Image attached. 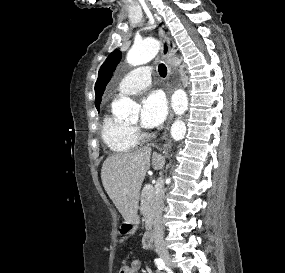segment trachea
I'll use <instances>...</instances> for the list:
<instances>
[{"instance_id": "3493384b", "label": "trachea", "mask_w": 285, "mask_h": 273, "mask_svg": "<svg viewBox=\"0 0 285 273\" xmlns=\"http://www.w3.org/2000/svg\"><path fill=\"white\" fill-rule=\"evenodd\" d=\"M158 72H159L161 77H166V75H167V68H166V66L163 63L159 64Z\"/></svg>"}]
</instances>
